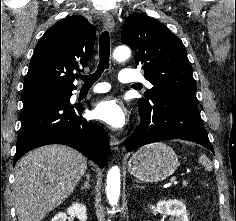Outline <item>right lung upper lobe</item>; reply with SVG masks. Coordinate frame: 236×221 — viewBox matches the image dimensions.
Instances as JSON below:
<instances>
[{
	"instance_id": "1",
	"label": "right lung upper lobe",
	"mask_w": 236,
	"mask_h": 221,
	"mask_svg": "<svg viewBox=\"0 0 236 221\" xmlns=\"http://www.w3.org/2000/svg\"><path fill=\"white\" fill-rule=\"evenodd\" d=\"M95 28L73 15L50 27L36 45L21 94L47 89L74 90L73 82L91 56Z\"/></svg>"
}]
</instances>
